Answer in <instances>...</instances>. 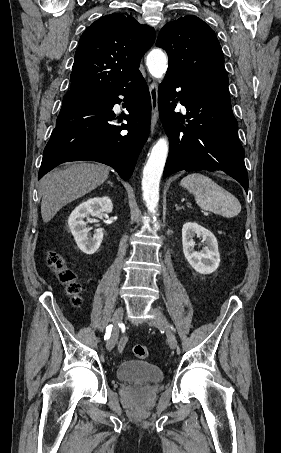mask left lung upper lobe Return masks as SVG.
I'll return each mask as SVG.
<instances>
[{
    "instance_id": "obj_1",
    "label": "left lung upper lobe",
    "mask_w": 281,
    "mask_h": 453,
    "mask_svg": "<svg viewBox=\"0 0 281 453\" xmlns=\"http://www.w3.org/2000/svg\"><path fill=\"white\" fill-rule=\"evenodd\" d=\"M156 46L169 57L167 73L193 86L228 88L223 52L214 31L194 15L179 17L160 31Z\"/></svg>"
}]
</instances>
